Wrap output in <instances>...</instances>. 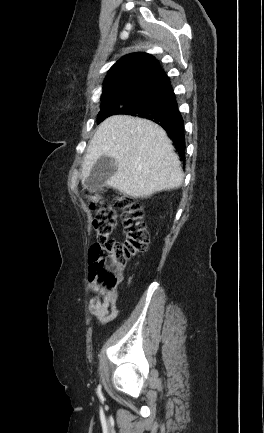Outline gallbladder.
Segmentation results:
<instances>
[{
  "label": "gallbladder",
  "mask_w": 264,
  "mask_h": 433,
  "mask_svg": "<svg viewBox=\"0 0 264 433\" xmlns=\"http://www.w3.org/2000/svg\"><path fill=\"white\" fill-rule=\"evenodd\" d=\"M117 164L112 157L103 155L95 163L90 175L83 181L85 188L98 190L116 173Z\"/></svg>",
  "instance_id": "obj_1"
}]
</instances>
